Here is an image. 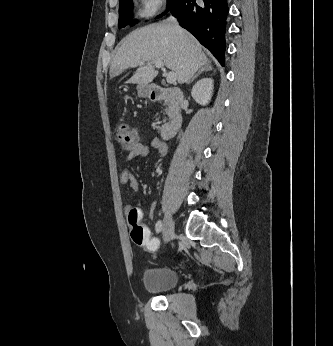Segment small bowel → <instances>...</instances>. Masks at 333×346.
Masks as SVG:
<instances>
[{"mask_svg": "<svg viewBox=\"0 0 333 346\" xmlns=\"http://www.w3.org/2000/svg\"><path fill=\"white\" fill-rule=\"evenodd\" d=\"M150 146L155 148L161 157L165 156L167 153L166 145L162 141H160L158 138H153L150 141V145H143L139 143L133 150H131L128 153L126 157V161H132L135 159H141V158L147 157L150 152ZM121 182L129 185L132 190H138L139 188L138 180L129 169H125L122 171ZM130 209L131 207L128 206L127 211L129 212Z\"/></svg>", "mask_w": 333, "mask_h": 346, "instance_id": "c3829d8e", "label": "small bowel"}]
</instances>
